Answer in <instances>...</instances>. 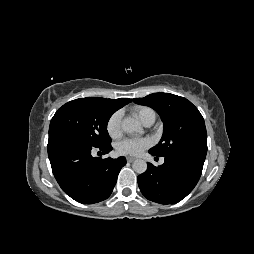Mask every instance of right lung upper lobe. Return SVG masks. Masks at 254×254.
I'll use <instances>...</instances> for the list:
<instances>
[{
    "mask_svg": "<svg viewBox=\"0 0 254 254\" xmlns=\"http://www.w3.org/2000/svg\"><path fill=\"white\" fill-rule=\"evenodd\" d=\"M107 103L115 110L122 108L124 105L131 102L129 98H120V99H105Z\"/></svg>",
    "mask_w": 254,
    "mask_h": 254,
    "instance_id": "cb5924a9",
    "label": "right lung upper lobe"
}]
</instances>
